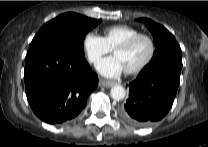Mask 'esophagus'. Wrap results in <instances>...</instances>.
Returning <instances> with one entry per match:
<instances>
[{"mask_svg":"<svg viewBox=\"0 0 208 147\" xmlns=\"http://www.w3.org/2000/svg\"><path fill=\"white\" fill-rule=\"evenodd\" d=\"M99 83H100L101 86L106 87V88H109V87H112L113 85H115V82L108 81V80H105V79H100Z\"/></svg>","mask_w":208,"mask_h":147,"instance_id":"1","label":"esophagus"}]
</instances>
